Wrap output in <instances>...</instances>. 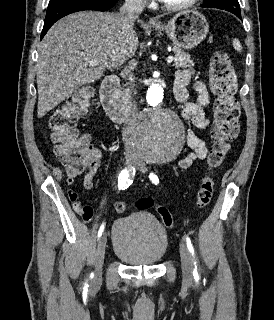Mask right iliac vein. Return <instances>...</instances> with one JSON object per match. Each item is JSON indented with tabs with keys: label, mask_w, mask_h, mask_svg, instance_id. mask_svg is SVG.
<instances>
[{
	"label": "right iliac vein",
	"mask_w": 274,
	"mask_h": 320,
	"mask_svg": "<svg viewBox=\"0 0 274 320\" xmlns=\"http://www.w3.org/2000/svg\"><path fill=\"white\" fill-rule=\"evenodd\" d=\"M135 164H136V160L132 158H127L126 165L128 167H131ZM106 243H107V235L106 233H103V235L99 239L96 253H95V271H94V276L92 280L93 288L99 287L102 281V265H103L104 255H105Z\"/></svg>",
	"instance_id": "obj_1"
}]
</instances>
